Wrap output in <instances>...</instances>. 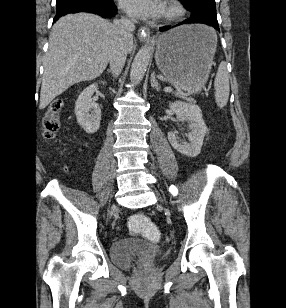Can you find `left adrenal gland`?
<instances>
[{
	"mask_svg": "<svg viewBox=\"0 0 286 308\" xmlns=\"http://www.w3.org/2000/svg\"><path fill=\"white\" fill-rule=\"evenodd\" d=\"M150 82H151V87L152 88H154L156 91L160 90V84H159L158 80L155 77V72L152 73Z\"/></svg>",
	"mask_w": 286,
	"mask_h": 308,
	"instance_id": "a2214340",
	"label": "left adrenal gland"
}]
</instances>
